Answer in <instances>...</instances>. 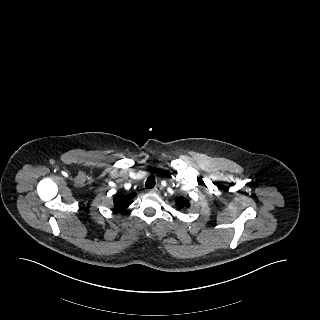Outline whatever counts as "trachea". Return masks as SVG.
<instances>
[{"instance_id": "1", "label": "trachea", "mask_w": 320, "mask_h": 320, "mask_svg": "<svg viewBox=\"0 0 320 320\" xmlns=\"http://www.w3.org/2000/svg\"><path fill=\"white\" fill-rule=\"evenodd\" d=\"M155 186L154 177H149L145 182L146 189H152Z\"/></svg>"}]
</instances>
